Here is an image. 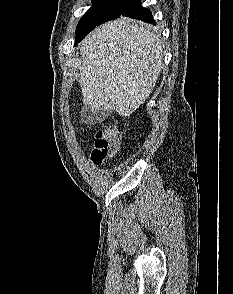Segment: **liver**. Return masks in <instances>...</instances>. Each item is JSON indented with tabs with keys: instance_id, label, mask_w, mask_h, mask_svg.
<instances>
[{
	"instance_id": "6515ba94",
	"label": "liver",
	"mask_w": 233,
	"mask_h": 294,
	"mask_svg": "<svg viewBox=\"0 0 233 294\" xmlns=\"http://www.w3.org/2000/svg\"><path fill=\"white\" fill-rule=\"evenodd\" d=\"M79 49L83 103L96 112L129 117L152 93L163 68L160 34L125 17L93 30Z\"/></svg>"
}]
</instances>
